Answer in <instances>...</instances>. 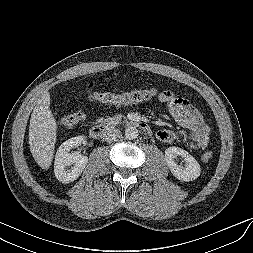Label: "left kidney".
<instances>
[{
	"label": "left kidney",
	"instance_id": "5707ae66",
	"mask_svg": "<svg viewBox=\"0 0 253 253\" xmlns=\"http://www.w3.org/2000/svg\"><path fill=\"white\" fill-rule=\"evenodd\" d=\"M181 156L184 161L183 165H178L175 159ZM165 160L172 174L181 181L189 182L200 176L201 168L196 159L186 150L179 147H169L165 150Z\"/></svg>",
	"mask_w": 253,
	"mask_h": 253
}]
</instances>
